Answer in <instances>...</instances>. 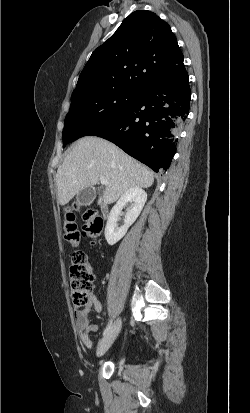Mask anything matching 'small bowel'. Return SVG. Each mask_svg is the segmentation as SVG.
<instances>
[{
    "mask_svg": "<svg viewBox=\"0 0 250 413\" xmlns=\"http://www.w3.org/2000/svg\"><path fill=\"white\" fill-rule=\"evenodd\" d=\"M101 310V303L98 301L96 295L92 294L90 305L78 309L74 313L75 325L79 332V338L83 345L88 349H91L93 346L90 335L96 330V326L91 319V313L94 311L99 314Z\"/></svg>",
    "mask_w": 250,
    "mask_h": 413,
    "instance_id": "c3829d8e",
    "label": "small bowel"
}]
</instances>
